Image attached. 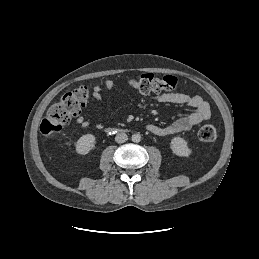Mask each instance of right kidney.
I'll return each mask as SVG.
<instances>
[{"instance_id": "1", "label": "right kidney", "mask_w": 259, "mask_h": 259, "mask_svg": "<svg viewBox=\"0 0 259 259\" xmlns=\"http://www.w3.org/2000/svg\"><path fill=\"white\" fill-rule=\"evenodd\" d=\"M96 138L92 134L81 136L75 143L76 152L80 155L88 154L95 147Z\"/></svg>"}]
</instances>
